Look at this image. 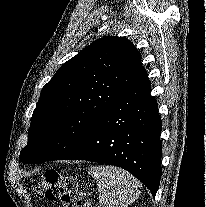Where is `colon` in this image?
I'll return each mask as SVG.
<instances>
[{
  "instance_id": "obj_1",
  "label": "colon",
  "mask_w": 206,
  "mask_h": 207,
  "mask_svg": "<svg viewBox=\"0 0 206 207\" xmlns=\"http://www.w3.org/2000/svg\"><path fill=\"white\" fill-rule=\"evenodd\" d=\"M37 191L48 200H58L61 207H83L84 194L78 189L76 180L56 170L44 173Z\"/></svg>"
}]
</instances>
